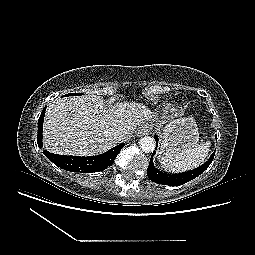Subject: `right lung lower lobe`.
<instances>
[{"label":"right lung lower lobe","instance_id":"right-lung-lower-lobe-1","mask_svg":"<svg viewBox=\"0 0 255 255\" xmlns=\"http://www.w3.org/2000/svg\"><path fill=\"white\" fill-rule=\"evenodd\" d=\"M46 107L43 109L39 120H38V146L42 148V129L43 120L45 115ZM125 143H121L116 147L110 149L109 151L91 157H80V156H67V155H57L50 153L48 151H43V154L49 158L55 165L71 172H83L92 173L105 170L107 167L111 166L114 162L116 156L123 148Z\"/></svg>","mask_w":255,"mask_h":255}]
</instances>
